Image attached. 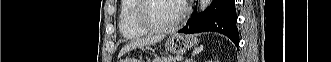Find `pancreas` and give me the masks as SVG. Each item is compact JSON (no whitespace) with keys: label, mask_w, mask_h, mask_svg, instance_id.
<instances>
[{"label":"pancreas","mask_w":331,"mask_h":62,"mask_svg":"<svg viewBox=\"0 0 331 62\" xmlns=\"http://www.w3.org/2000/svg\"><path fill=\"white\" fill-rule=\"evenodd\" d=\"M153 62H176L175 58L169 56V57H162V58H159V57H156Z\"/></svg>","instance_id":"pancreas-1"}]
</instances>
